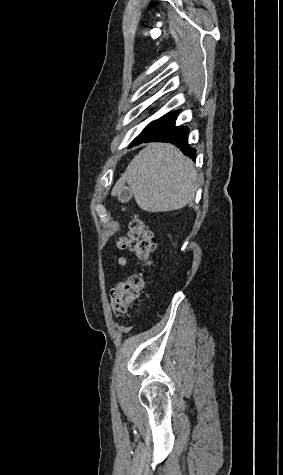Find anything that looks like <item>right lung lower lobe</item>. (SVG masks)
I'll return each instance as SVG.
<instances>
[{
  "mask_svg": "<svg viewBox=\"0 0 283 475\" xmlns=\"http://www.w3.org/2000/svg\"><path fill=\"white\" fill-rule=\"evenodd\" d=\"M179 110L172 111L150 123L132 142L130 147L142 142H170L175 144L182 152L195 160V149L188 144L189 129L176 126Z\"/></svg>",
  "mask_w": 283,
  "mask_h": 475,
  "instance_id": "obj_1",
  "label": "right lung lower lobe"
}]
</instances>
